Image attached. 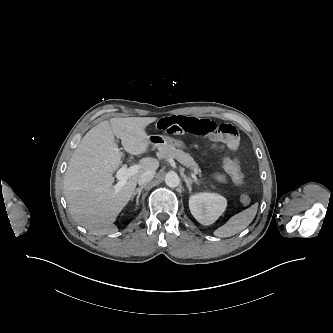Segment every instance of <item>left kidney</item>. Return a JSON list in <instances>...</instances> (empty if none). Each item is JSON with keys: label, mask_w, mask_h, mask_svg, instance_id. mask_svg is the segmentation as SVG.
<instances>
[{"label": "left kidney", "mask_w": 333, "mask_h": 333, "mask_svg": "<svg viewBox=\"0 0 333 333\" xmlns=\"http://www.w3.org/2000/svg\"><path fill=\"white\" fill-rule=\"evenodd\" d=\"M226 206V199L216 193H197L189 198L191 214L203 225L213 224L225 211Z\"/></svg>", "instance_id": "1"}]
</instances>
